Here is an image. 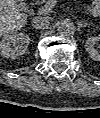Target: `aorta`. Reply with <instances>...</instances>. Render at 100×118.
<instances>
[{
    "mask_svg": "<svg viewBox=\"0 0 100 118\" xmlns=\"http://www.w3.org/2000/svg\"><path fill=\"white\" fill-rule=\"evenodd\" d=\"M75 26L74 23L70 19H64L59 21L57 24V31L59 34L64 36H69L74 33Z\"/></svg>",
    "mask_w": 100,
    "mask_h": 118,
    "instance_id": "762f6f07",
    "label": "aorta"
}]
</instances>
